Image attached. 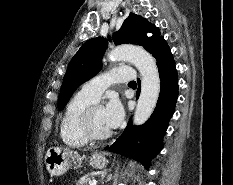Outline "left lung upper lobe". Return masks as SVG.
Segmentation results:
<instances>
[{
    "label": "left lung upper lobe",
    "instance_id": "left-lung-upper-lobe-1",
    "mask_svg": "<svg viewBox=\"0 0 233 185\" xmlns=\"http://www.w3.org/2000/svg\"><path fill=\"white\" fill-rule=\"evenodd\" d=\"M146 32L152 33V36L148 37ZM162 38L157 27L133 13H130L120 30L113 35V41L116 45L123 43L137 44L143 46L150 53ZM106 46L107 41L103 37L93 38L85 42L74 55L61 87L58 102L59 110L66 106L74 91L82 83L99 72Z\"/></svg>",
    "mask_w": 233,
    "mask_h": 185
}]
</instances>
